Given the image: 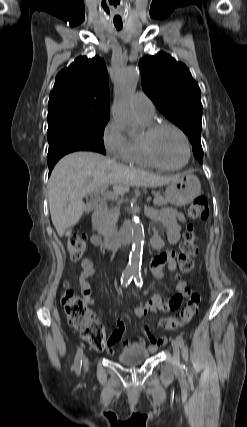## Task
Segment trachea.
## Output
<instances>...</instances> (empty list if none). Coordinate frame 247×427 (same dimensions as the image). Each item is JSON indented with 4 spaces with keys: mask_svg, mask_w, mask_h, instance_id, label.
I'll list each match as a JSON object with an SVG mask.
<instances>
[{
    "mask_svg": "<svg viewBox=\"0 0 247 427\" xmlns=\"http://www.w3.org/2000/svg\"><path fill=\"white\" fill-rule=\"evenodd\" d=\"M116 28L119 30L122 28V25H116Z\"/></svg>",
    "mask_w": 247,
    "mask_h": 427,
    "instance_id": "obj_1",
    "label": "trachea"
}]
</instances>
